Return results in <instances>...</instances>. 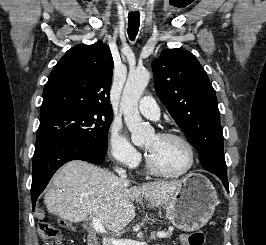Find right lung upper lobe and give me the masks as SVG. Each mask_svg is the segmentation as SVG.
Returning a JSON list of instances; mask_svg holds the SVG:
<instances>
[{"label":"right lung upper lobe","mask_w":266,"mask_h":245,"mask_svg":"<svg viewBox=\"0 0 266 245\" xmlns=\"http://www.w3.org/2000/svg\"><path fill=\"white\" fill-rule=\"evenodd\" d=\"M113 59L108 45H76L53 68L43 90L40 120L63 111L97 107L112 111Z\"/></svg>","instance_id":"right-lung-upper-lobe-1"}]
</instances>
